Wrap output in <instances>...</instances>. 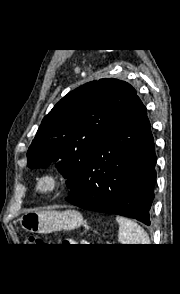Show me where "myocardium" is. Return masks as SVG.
Returning a JSON list of instances; mask_svg holds the SVG:
<instances>
[{"mask_svg":"<svg viewBox=\"0 0 180 294\" xmlns=\"http://www.w3.org/2000/svg\"><path fill=\"white\" fill-rule=\"evenodd\" d=\"M61 185L62 177L57 172L48 171L36 178L34 189L42 195H48L60 189Z\"/></svg>","mask_w":180,"mask_h":294,"instance_id":"1","label":"myocardium"}]
</instances>
